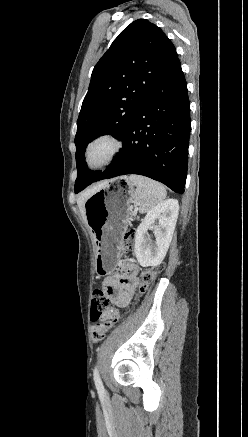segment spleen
Listing matches in <instances>:
<instances>
[{"label":"spleen","instance_id":"3e777b00","mask_svg":"<svg viewBox=\"0 0 248 437\" xmlns=\"http://www.w3.org/2000/svg\"><path fill=\"white\" fill-rule=\"evenodd\" d=\"M129 180L136 186L133 198L141 213L149 212L166 198V189L159 182L140 175H130Z\"/></svg>","mask_w":248,"mask_h":437}]
</instances>
